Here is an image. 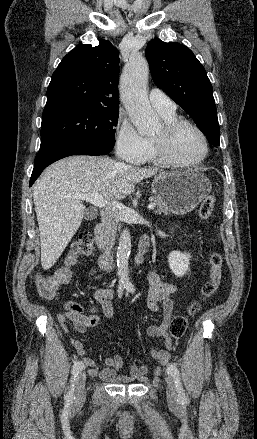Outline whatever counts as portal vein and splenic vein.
Wrapping results in <instances>:
<instances>
[{
	"mask_svg": "<svg viewBox=\"0 0 257 439\" xmlns=\"http://www.w3.org/2000/svg\"><path fill=\"white\" fill-rule=\"evenodd\" d=\"M72 197L80 199V200H86V201L90 202L91 204H93L97 207H100V208H104V207L109 205V202L107 200H105L101 194H98V193L73 194ZM155 206H156V204L154 202H151V203H149L148 208L150 210H152L155 208Z\"/></svg>",
	"mask_w": 257,
	"mask_h": 439,
	"instance_id": "obj_1",
	"label": "portal vein and splenic vein"
}]
</instances>
